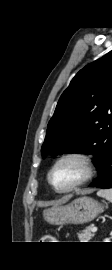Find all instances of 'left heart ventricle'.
<instances>
[{
  "label": "left heart ventricle",
  "instance_id": "left-heart-ventricle-1",
  "mask_svg": "<svg viewBox=\"0 0 112 270\" xmlns=\"http://www.w3.org/2000/svg\"><path fill=\"white\" fill-rule=\"evenodd\" d=\"M84 175L82 165L74 160H68L61 163L52 175V182L60 189L69 187Z\"/></svg>",
  "mask_w": 112,
  "mask_h": 270
}]
</instances>
